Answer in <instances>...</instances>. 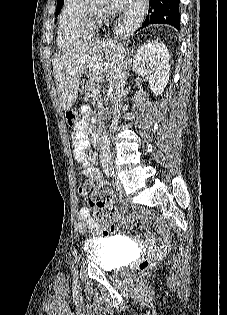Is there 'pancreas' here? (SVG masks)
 Here are the masks:
<instances>
[{
  "label": "pancreas",
  "mask_w": 227,
  "mask_h": 315,
  "mask_svg": "<svg viewBox=\"0 0 227 315\" xmlns=\"http://www.w3.org/2000/svg\"><path fill=\"white\" fill-rule=\"evenodd\" d=\"M94 90L98 91V87L94 81V77L90 76V79L85 84V96L87 98L92 97V92Z\"/></svg>",
  "instance_id": "cf45deb5"
}]
</instances>
